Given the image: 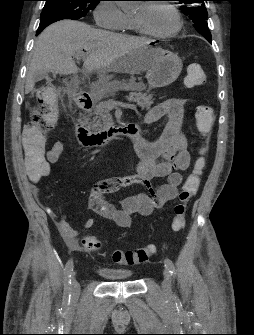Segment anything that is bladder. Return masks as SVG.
<instances>
[{
	"label": "bladder",
	"mask_w": 254,
	"mask_h": 335,
	"mask_svg": "<svg viewBox=\"0 0 254 335\" xmlns=\"http://www.w3.org/2000/svg\"><path fill=\"white\" fill-rule=\"evenodd\" d=\"M98 273L107 281H126L130 280L133 275L130 270L110 267H101L98 269Z\"/></svg>",
	"instance_id": "31cf9c89"
}]
</instances>
